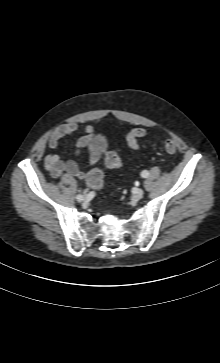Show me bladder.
I'll return each mask as SVG.
<instances>
[{"mask_svg": "<svg viewBox=\"0 0 220 363\" xmlns=\"http://www.w3.org/2000/svg\"><path fill=\"white\" fill-rule=\"evenodd\" d=\"M90 144L92 145V147L95 150H99V151H103L106 147V140L102 137V136H97L94 137L91 141Z\"/></svg>", "mask_w": 220, "mask_h": 363, "instance_id": "obj_1", "label": "bladder"}]
</instances>
